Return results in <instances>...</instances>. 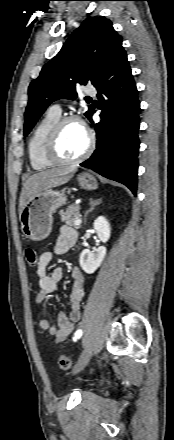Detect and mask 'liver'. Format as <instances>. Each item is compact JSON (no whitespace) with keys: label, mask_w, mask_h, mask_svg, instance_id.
I'll use <instances>...</instances> for the list:
<instances>
[{"label":"liver","mask_w":174,"mask_h":440,"mask_svg":"<svg viewBox=\"0 0 174 440\" xmlns=\"http://www.w3.org/2000/svg\"><path fill=\"white\" fill-rule=\"evenodd\" d=\"M68 171L51 169L41 171L30 176L25 183L19 198V214H21L27 201L43 190L57 187L67 183L71 179Z\"/></svg>","instance_id":"1"}]
</instances>
